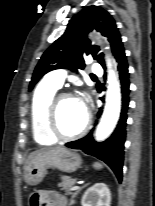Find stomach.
Returning <instances> with one entry per match:
<instances>
[{
	"label": "stomach",
	"instance_id": "0dacf381",
	"mask_svg": "<svg viewBox=\"0 0 155 206\" xmlns=\"http://www.w3.org/2000/svg\"><path fill=\"white\" fill-rule=\"evenodd\" d=\"M82 160L78 153L65 147L41 151L33 156L25 170V182L35 186L39 184L49 168L72 173L81 168Z\"/></svg>",
	"mask_w": 155,
	"mask_h": 206
}]
</instances>
